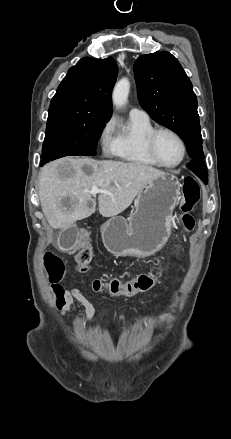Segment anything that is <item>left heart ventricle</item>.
<instances>
[{"label":"left heart ventricle","mask_w":231,"mask_h":439,"mask_svg":"<svg viewBox=\"0 0 231 439\" xmlns=\"http://www.w3.org/2000/svg\"><path fill=\"white\" fill-rule=\"evenodd\" d=\"M156 151L166 164H174L181 157V146L177 139L169 133H161L156 139Z\"/></svg>","instance_id":"1"}]
</instances>
